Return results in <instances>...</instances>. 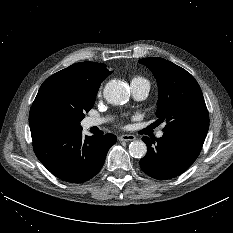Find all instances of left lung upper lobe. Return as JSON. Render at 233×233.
<instances>
[{
    "label": "left lung upper lobe",
    "mask_w": 233,
    "mask_h": 233,
    "mask_svg": "<svg viewBox=\"0 0 233 233\" xmlns=\"http://www.w3.org/2000/svg\"><path fill=\"white\" fill-rule=\"evenodd\" d=\"M140 63L154 74L159 88L158 120L166 121L164 132L192 130L207 133L209 114L195 78L183 68L159 57Z\"/></svg>",
    "instance_id": "obj_1"
}]
</instances>
